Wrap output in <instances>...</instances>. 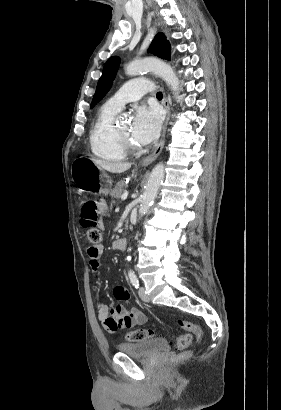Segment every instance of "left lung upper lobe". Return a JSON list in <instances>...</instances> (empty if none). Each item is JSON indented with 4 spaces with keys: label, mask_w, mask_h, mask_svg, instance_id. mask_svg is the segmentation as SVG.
<instances>
[{
    "label": "left lung upper lobe",
    "mask_w": 281,
    "mask_h": 410,
    "mask_svg": "<svg viewBox=\"0 0 281 410\" xmlns=\"http://www.w3.org/2000/svg\"><path fill=\"white\" fill-rule=\"evenodd\" d=\"M149 52L154 55L170 60L171 47L169 41L163 33H158L150 45ZM120 59L116 56L111 57L104 65L102 76L98 81L96 92L91 102V108L95 106L108 92L113 84L118 71Z\"/></svg>",
    "instance_id": "obj_1"
}]
</instances>
